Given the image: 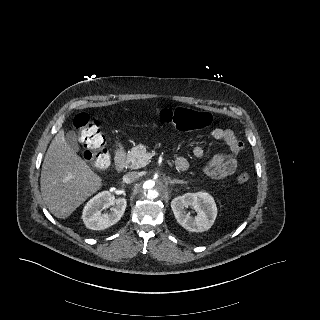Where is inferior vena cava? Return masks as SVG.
<instances>
[{"instance_id": "obj_1", "label": "inferior vena cava", "mask_w": 320, "mask_h": 320, "mask_svg": "<svg viewBox=\"0 0 320 320\" xmlns=\"http://www.w3.org/2000/svg\"><path fill=\"white\" fill-rule=\"evenodd\" d=\"M139 177L138 173L133 171L125 174L123 176V182L124 183H131L134 182Z\"/></svg>"}]
</instances>
